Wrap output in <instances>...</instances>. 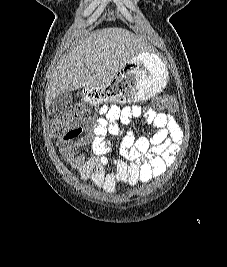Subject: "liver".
Returning <instances> with one entry per match:
<instances>
[{"instance_id":"obj_1","label":"liver","mask_w":227,"mask_h":267,"mask_svg":"<svg viewBox=\"0 0 227 267\" xmlns=\"http://www.w3.org/2000/svg\"><path fill=\"white\" fill-rule=\"evenodd\" d=\"M142 52L145 47L141 38L126 29L106 28L93 32L58 64L46 90V107L64 92L104 87Z\"/></svg>"}]
</instances>
